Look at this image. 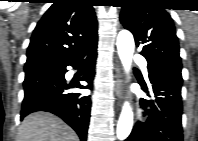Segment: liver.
<instances>
[{
  "label": "liver",
  "instance_id": "liver-1",
  "mask_svg": "<svg viewBox=\"0 0 198 141\" xmlns=\"http://www.w3.org/2000/svg\"><path fill=\"white\" fill-rule=\"evenodd\" d=\"M17 141H78V137L59 117L36 112L22 121Z\"/></svg>",
  "mask_w": 198,
  "mask_h": 141
}]
</instances>
